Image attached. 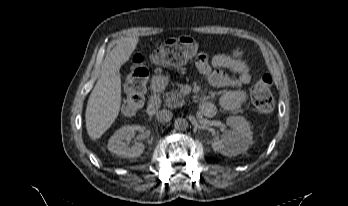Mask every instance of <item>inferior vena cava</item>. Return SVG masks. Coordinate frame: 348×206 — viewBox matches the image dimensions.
Here are the masks:
<instances>
[{"label":"inferior vena cava","mask_w":348,"mask_h":206,"mask_svg":"<svg viewBox=\"0 0 348 206\" xmlns=\"http://www.w3.org/2000/svg\"><path fill=\"white\" fill-rule=\"evenodd\" d=\"M173 117V113L170 110L162 109L156 114V119L161 123L169 122Z\"/></svg>","instance_id":"602c4592"}]
</instances>
